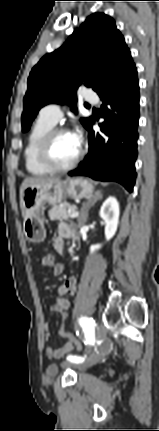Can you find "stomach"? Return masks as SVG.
I'll return each mask as SVG.
<instances>
[{"label": "stomach", "instance_id": "1", "mask_svg": "<svg viewBox=\"0 0 159 431\" xmlns=\"http://www.w3.org/2000/svg\"><path fill=\"white\" fill-rule=\"evenodd\" d=\"M93 190V185L83 178L57 180L43 185L26 187L21 196L25 212L23 231L26 238L34 243L42 242L45 239V218L42 211L44 204H58L65 197L87 198L92 195Z\"/></svg>", "mask_w": 159, "mask_h": 431}]
</instances>
